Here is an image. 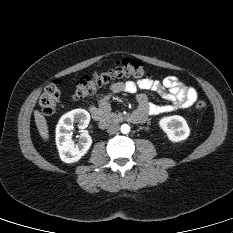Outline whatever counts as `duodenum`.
Returning <instances> with one entry per match:
<instances>
[{
	"instance_id": "410a0bca",
	"label": "duodenum",
	"mask_w": 233,
	"mask_h": 233,
	"mask_svg": "<svg viewBox=\"0 0 233 233\" xmlns=\"http://www.w3.org/2000/svg\"><path fill=\"white\" fill-rule=\"evenodd\" d=\"M145 119H146V116L142 112L135 111L124 117L110 115V114H103L98 117V123L100 127L105 128L108 125L118 120H126L134 124H140V123H143Z\"/></svg>"
}]
</instances>
